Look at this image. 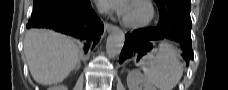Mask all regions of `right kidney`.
I'll use <instances>...</instances> for the list:
<instances>
[{"mask_svg": "<svg viewBox=\"0 0 228 90\" xmlns=\"http://www.w3.org/2000/svg\"><path fill=\"white\" fill-rule=\"evenodd\" d=\"M49 90H67V87L63 85H57V86H52L51 88H49Z\"/></svg>", "mask_w": 228, "mask_h": 90, "instance_id": "obj_1", "label": "right kidney"}]
</instances>
